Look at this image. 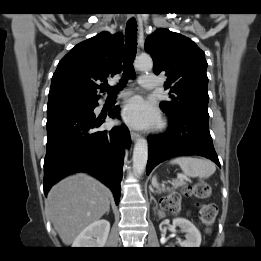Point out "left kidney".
<instances>
[{"mask_svg": "<svg viewBox=\"0 0 261 261\" xmlns=\"http://www.w3.org/2000/svg\"><path fill=\"white\" fill-rule=\"evenodd\" d=\"M173 225L186 233V240L178 242L182 248H198L201 244V234L193 223L184 218L173 219Z\"/></svg>", "mask_w": 261, "mask_h": 261, "instance_id": "5707ae66", "label": "left kidney"}]
</instances>
